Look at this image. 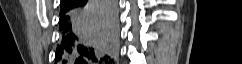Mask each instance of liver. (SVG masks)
I'll return each mask as SVG.
<instances>
[{"label":"liver","mask_w":242,"mask_h":64,"mask_svg":"<svg viewBox=\"0 0 242 64\" xmlns=\"http://www.w3.org/2000/svg\"><path fill=\"white\" fill-rule=\"evenodd\" d=\"M93 22L96 24V27L98 30H100L101 32H104L105 29L104 28H101L100 25L96 22V20L93 19Z\"/></svg>","instance_id":"liver-1"}]
</instances>
